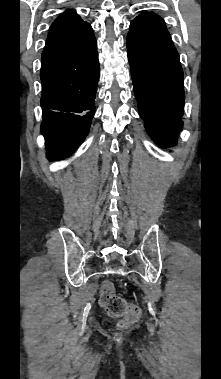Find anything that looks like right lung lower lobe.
Wrapping results in <instances>:
<instances>
[{"instance_id":"98d812e1","label":"right lung lower lobe","mask_w":221,"mask_h":379,"mask_svg":"<svg viewBox=\"0 0 221 379\" xmlns=\"http://www.w3.org/2000/svg\"><path fill=\"white\" fill-rule=\"evenodd\" d=\"M40 77L47 156L51 161L64 159L86 137L94 116L99 61L90 24L46 43Z\"/></svg>"}]
</instances>
